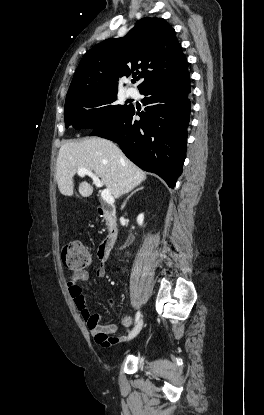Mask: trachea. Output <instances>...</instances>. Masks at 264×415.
Here are the masks:
<instances>
[{"label":"trachea","instance_id":"trachea-1","mask_svg":"<svg viewBox=\"0 0 264 415\" xmlns=\"http://www.w3.org/2000/svg\"><path fill=\"white\" fill-rule=\"evenodd\" d=\"M132 82L135 83L136 82V79H133Z\"/></svg>","mask_w":264,"mask_h":415}]
</instances>
